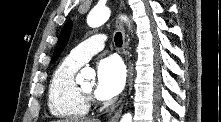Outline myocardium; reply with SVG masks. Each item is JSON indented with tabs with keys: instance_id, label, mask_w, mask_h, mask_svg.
<instances>
[{
	"instance_id": "1",
	"label": "myocardium",
	"mask_w": 221,
	"mask_h": 122,
	"mask_svg": "<svg viewBox=\"0 0 221 122\" xmlns=\"http://www.w3.org/2000/svg\"><path fill=\"white\" fill-rule=\"evenodd\" d=\"M79 91L81 93V95L83 96V98L90 104L93 103L95 101V98L93 96L92 93L87 92L86 90L83 89L82 86H78Z\"/></svg>"
}]
</instances>
